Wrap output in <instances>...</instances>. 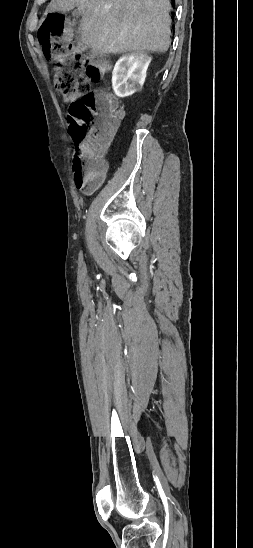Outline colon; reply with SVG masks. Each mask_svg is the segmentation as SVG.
Returning a JSON list of instances; mask_svg holds the SVG:
<instances>
[{"label":"colon","mask_w":253,"mask_h":548,"mask_svg":"<svg viewBox=\"0 0 253 548\" xmlns=\"http://www.w3.org/2000/svg\"><path fill=\"white\" fill-rule=\"evenodd\" d=\"M65 17L48 14L39 29L42 51L53 63L54 87L76 96L69 108L70 133L77 145L73 157L77 186L93 183L105 173L103 154L118 125L120 110L116 100L104 91H92L91 83L101 79L104 65L78 44L68 43Z\"/></svg>","instance_id":"5ec220e1"}]
</instances>
